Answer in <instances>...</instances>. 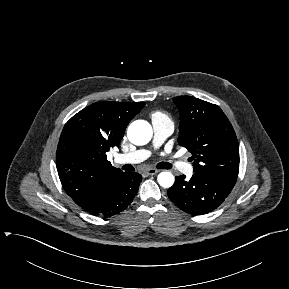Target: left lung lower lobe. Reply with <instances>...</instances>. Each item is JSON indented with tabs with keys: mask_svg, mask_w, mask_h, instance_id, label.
Instances as JSON below:
<instances>
[{
	"mask_svg": "<svg viewBox=\"0 0 289 289\" xmlns=\"http://www.w3.org/2000/svg\"><path fill=\"white\" fill-rule=\"evenodd\" d=\"M234 186L216 178L194 173L190 180L176 176L168 189L169 199L184 212L203 215L219 207Z\"/></svg>",
	"mask_w": 289,
	"mask_h": 289,
	"instance_id": "0a47b994",
	"label": "left lung lower lobe"
}]
</instances>
